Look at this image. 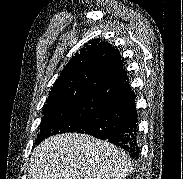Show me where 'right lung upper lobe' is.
I'll list each match as a JSON object with an SVG mask.
<instances>
[{
	"instance_id": "obj_1",
	"label": "right lung upper lobe",
	"mask_w": 183,
	"mask_h": 179,
	"mask_svg": "<svg viewBox=\"0 0 183 179\" xmlns=\"http://www.w3.org/2000/svg\"><path fill=\"white\" fill-rule=\"evenodd\" d=\"M126 78L119 51L107 42L91 40L64 67L44 106L89 95L105 96Z\"/></svg>"
}]
</instances>
